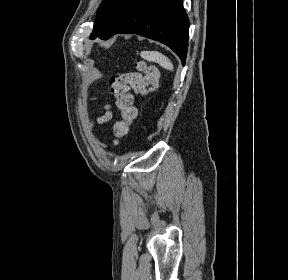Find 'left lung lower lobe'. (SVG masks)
<instances>
[{
  "label": "left lung lower lobe",
  "mask_w": 288,
  "mask_h": 280,
  "mask_svg": "<svg viewBox=\"0 0 288 280\" xmlns=\"http://www.w3.org/2000/svg\"><path fill=\"white\" fill-rule=\"evenodd\" d=\"M124 33H135L167 45L185 64L189 19L183 0H141L113 35Z\"/></svg>",
  "instance_id": "left-lung-lower-lobe-1"
}]
</instances>
